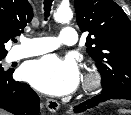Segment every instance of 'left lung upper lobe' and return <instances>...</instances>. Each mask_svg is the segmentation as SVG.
Wrapping results in <instances>:
<instances>
[{"instance_id":"5c2ea615","label":"left lung upper lobe","mask_w":131,"mask_h":115,"mask_svg":"<svg viewBox=\"0 0 131 115\" xmlns=\"http://www.w3.org/2000/svg\"><path fill=\"white\" fill-rule=\"evenodd\" d=\"M77 24L89 32L87 53L102 75L104 93L131 94V21L113 0H74Z\"/></svg>"}]
</instances>
